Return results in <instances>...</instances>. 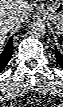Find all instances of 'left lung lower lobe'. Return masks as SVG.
<instances>
[{
	"mask_svg": "<svg viewBox=\"0 0 63 107\" xmlns=\"http://www.w3.org/2000/svg\"><path fill=\"white\" fill-rule=\"evenodd\" d=\"M55 57L60 66L63 67V54H61L57 48H55Z\"/></svg>",
	"mask_w": 63,
	"mask_h": 107,
	"instance_id": "left-lung-lower-lobe-1",
	"label": "left lung lower lobe"
}]
</instances>
